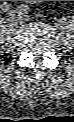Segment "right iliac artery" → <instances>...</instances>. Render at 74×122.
I'll list each match as a JSON object with an SVG mask.
<instances>
[{
    "instance_id": "obj_1",
    "label": "right iliac artery",
    "mask_w": 74,
    "mask_h": 122,
    "mask_svg": "<svg viewBox=\"0 0 74 122\" xmlns=\"http://www.w3.org/2000/svg\"><path fill=\"white\" fill-rule=\"evenodd\" d=\"M1 9L4 11V12H7L9 9H10V6L7 2H4L1 4Z\"/></svg>"
}]
</instances>
